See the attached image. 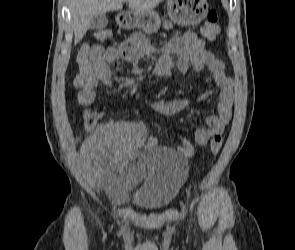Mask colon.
<instances>
[{
	"instance_id": "obj_1",
	"label": "colon",
	"mask_w": 295,
	"mask_h": 250,
	"mask_svg": "<svg viewBox=\"0 0 295 250\" xmlns=\"http://www.w3.org/2000/svg\"><path fill=\"white\" fill-rule=\"evenodd\" d=\"M220 32V18L216 11L212 10L208 13L206 21L201 28L202 36L207 40H212ZM111 33L106 29L97 30L94 38L98 41H106L110 38ZM94 46L84 45L77 56L78 65L87 66L90 62V54ZM101 117V112L97 109H86L82 114V121L85 129L92 130ZM222 146V141L214 139L210 143V150L213 154H217Z\"/></svg>"
}]
</instances>
